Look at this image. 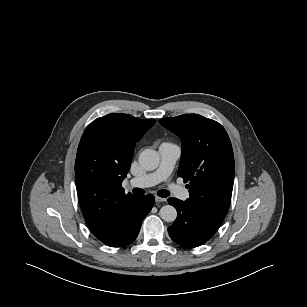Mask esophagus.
Instances as JSON below:
<instances>
[{
  "instance_id": "obj_1",
  "label": "esophagus",
  "mask_w": 307,
  "mask_h": 307,
  "mask_svg": "<svg viewBox=\"0 0 307 307\" xmlns=\"http://www.w3.org/2000/svg\"><path fill=\"white\" fill-rule=\"evenodd\" d=\"M166 200H167L166 198H163V197H160V196H155L156 202H165Z\"/></svg>"
}]
</instances>
